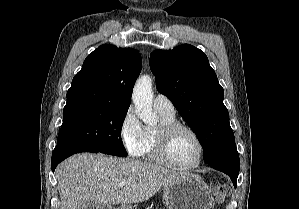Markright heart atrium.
<instances>
[{
	"instance_id": "obj_1",
	"label": "right heart atrium",
	"mask_w": 299,
	"mask_h": 209,
	"mask_svg": "<svg viewBox=\"0 0 299 209\" xmlns=\"http://www.w3.org/2000/svg\"><path fill=\"white\" fill-rule=\"evenodd\" d=\"M119 134L124 148L131 156H140L144 144V127L139 121L133 107H129L124 113Z\"/></svg>"
}]
</instances>
